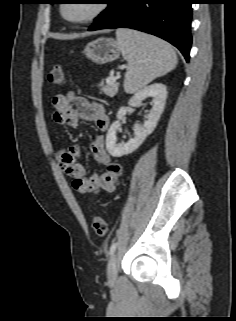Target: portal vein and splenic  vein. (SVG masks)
I'll return each instance as SVG.
<instances>
[{
    "instance_id": "18ae733b",
    "label": "portal vein and splenic vein",
    "mask_w": 236,
    "mask_h": 321,
    "mask_svg": "<svg viewBox=\"0 0 236 321\" xmlns=\"http://www.w3.org/2000/svg\"><path fill=\"white\" fill-rule=\"evenodd\" d=\"M116 78L113 76V75H111L110 76V78L107 80V82L109 83V82H111V81H114Z\"/></svg>"
}]
</instances>
